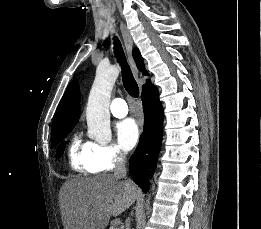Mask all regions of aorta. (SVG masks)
Masks as SVG:
<instances>
[{
  "label": "aorta",
  "mask_w": 261,
  "mask_h": 229,
  "mask_svg": "<svg viewBox=\"0 0 261 229\" xmlns=\"http://www.w3.org/2000/svg\"><path fill=\"white\" fill-rule=\"evenodd\" d=\"M119 64L104 66L99 64L96 70L95 80L88 96L86 108V121L90 135L96 137L98 133L110 131V96L113 84L120 72Z\"/></svg>",
  "instance_id": "aorta-1"
}]
</instances>
